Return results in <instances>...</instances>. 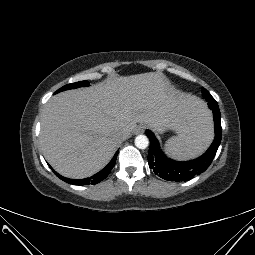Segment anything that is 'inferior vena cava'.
<instances>
[{
  "instance_id": "inferior-vena-cava-1",
  "label": "inferior vena cava",
  "mask_w": 255,
  "mask_h": 255,
  "mask_svg": "<svg viewBox=\"0 0 255 255\" xmlns=\"http://www.w3.org/2000/svg\"><path fill=\"white\" fill-rule=\"evenodd\" d=\"M115 138L117 139V140H123V139H125L126 138V136H125V134L124 133H122V132H117V133H115Z\"/></svg>"
}]
</instances>
